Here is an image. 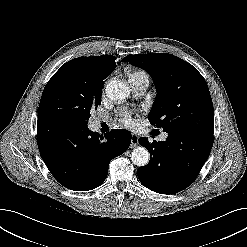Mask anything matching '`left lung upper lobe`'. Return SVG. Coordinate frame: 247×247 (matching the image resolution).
I'll list each match as a JSON object with an SVG mask.
<instances>
[{
  "label": "left lung upper lobe",
  "mask_w": 247,
  "mask_h": 247,
  "mask_svg": "<svg viewBox=\"0 0 247 247\" xmlns=\"http://www.w3.org/2000/svg\"><path fill=\"white\" fill-rule=\"evenodd\" d=\"M122 61L146 70L157 96L148 115L151 124L167 133L213 135V103L206 81L190 63L169 53L127 55Z\"/></svg>",
  "instance_id": "1"
}]
</instances>
